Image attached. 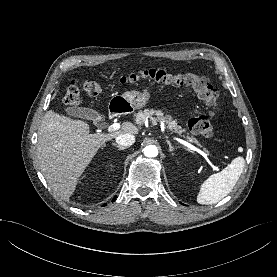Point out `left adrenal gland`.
Listing matches in <instances>:
<instances>
[{
    "label": "left adrenal gland",
    "instance_id": "obj_1",
    "mask_svg": "<svg viewBox=\"0 0 277 277\" xmlns=\"http://www.w3.org/2000/svg\"><path fill=\"white\" fill-rule=\"evenodd\" d=\"M167 141V144L169 146V151L172 152L173 151V146L171 144V142L169 140H166ZM172 155H174V153H172Z\"/></svg>",
    "mask_w": 277,
    "mask_h": 277
}]
</instances>
